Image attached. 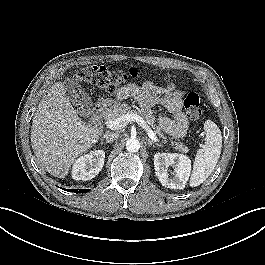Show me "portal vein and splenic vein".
Segmentation results:
<instances>
[{"label": "portal vein and splenic vein", "mask_w": 265, "mask_h": 265, "mask_svg": "<svg viewBox=\"0 0 265 265\" xmlns=\"http://www.w3.org/2000/svg\"><path fill=\"white\" fill-rule=\"evenodd\" d=\"M131 121H135L138 124H140L141 126H143V128H145L146 133L150 139H152L153 141H156V142L159 141L156 134L152 131V129L146 123V121L136 113H127L125 115H122V116L114 119V120H108L106 122V126L111 130H119V129L123 128L128 122H131Z\"/></svg>", "instance_id": "obj_1"}]
</instances>
